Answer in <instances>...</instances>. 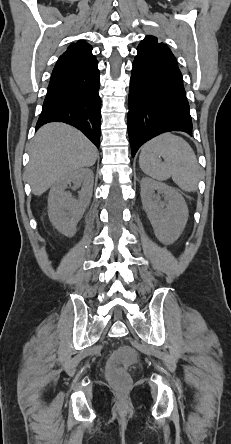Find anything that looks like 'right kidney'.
Here are the masks:
<instances>
[{"label":"right kidney","mask_w":231,"mask_h":444,"mask_svg":"<svg viewBox=\"0 0 231 444\" xmlns=\"http://www.w3.org/2000/svg\"><path fill=\"white\" fill-rule=\"evenodd\" d=\"M94 174L82 168L62 176L50 189L48 196V215L51 223L65 236L76 233L77 224L90 204ZM81 187L78 199L66 192L68 184Z\"/></svg>","instance_id":"right-kidney-1"}]
</instances>
